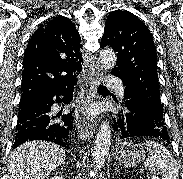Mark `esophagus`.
<instances>
[{
  "instance_id": "obj_1",
  "label": "esophagus",
  "mask_w": 183,
  "mask_h": 179,
  "mask_svg": "<svg viewBox=\"0 0 183 179\" xmlns=\"http://www.w3.org/2000/svg\"><path fill=\"white\" fill-rule=\"evenodd\" d=\"M102 72L103 69L98 63L89 60L85 62L84 100H82V107L75 111V122L78 134L80 138L84 140L90 139L97 127L95 118L87 115L86 109L89 103L95 98V86L99 81Z\"/></svg>"
}]
</instances>
